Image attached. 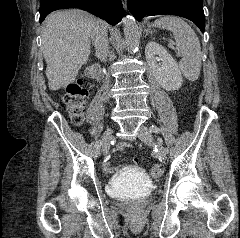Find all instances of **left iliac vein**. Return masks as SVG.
<instances>
[{"label":"left iliac vein","instance_id":"left-iliac-vein-1","mask_svg":"<svg viewBox=\"0 0 240 238\" xmlns=\"http://www.w3.org/2000/svg\"><path fill=\"white\" fill-rule=\"evenodd\" d=\"M138 137H139V139L142 142H144L147 145H153L154 144V140H153V135H152L151 129H149L148 127H146L144 125L139 127ZM167 153H168V149H167L166 152H163L161 150V148H159V156L163 160H165L167 158Z\"/></svg>","mask_w":240,"mask_h":238}]
</instances>
